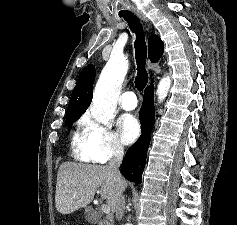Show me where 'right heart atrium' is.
<instances>
[{"label": "right heart atrium", "instance_id": "d8ad5b80", "mask_svg": "<svg viewBox=\"0 0 237 225\" xmlns=\"http://www.w3.org/2000/svg\"><path fill=\"white\" fill-rule=\"evenodd\" d=\"M75 152L85 161L106 163L121 158L124 155V146L110 126L94 120L88 113L80 122Z\"/></svg>", "mask_w": 237, "mask_h": 225}]
</instances>
